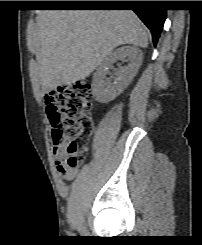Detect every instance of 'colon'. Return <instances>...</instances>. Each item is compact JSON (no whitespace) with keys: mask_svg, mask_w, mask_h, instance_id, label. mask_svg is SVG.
<instances>
[{"mask_svg":"<svg viewBox=\"0 0 202 245\" xmlns=\"http://www.w3.org/2000/svg\"><path fill=\"white\" fill-rule=\"evenodd\" d=\"M92 89L87 82L63 85L56 96L52 142H66V164L77 167L83 158L92 130Z\"/></svg>","mask_w":202,"mask_h":245,"instance_id":"colon-1","label":"colon"}]
</instances>
